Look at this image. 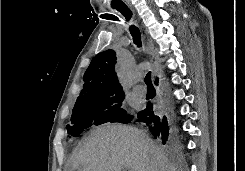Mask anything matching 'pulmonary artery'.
I'll use <instances>...</instances> for the list:
<instances>
[{
    "label": "pulmonary artery",
    "mask_w": 245,
    "mask_h": 171,
    "mask_svg": "<svg viewBox=\"0 0 245 171\" xmlns=\"http://www.w3.org/2000/svg\"><path fill=\"white\" fill-rule=\"evenodd\" d=\"M133 92L135 95L144 96L146 94V88L142 85L134 87Z\"/></svg>",
    "instance_id": "pulmonary-artery-1"
}]
</instances>
